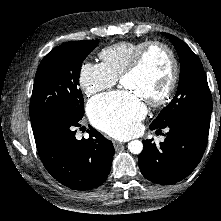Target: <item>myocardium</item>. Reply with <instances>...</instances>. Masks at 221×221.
I'll list each match as a JSON object with an SVG mask.
<instances>
[{
  "instance_id": "obj_1",
  "label": "myocardium",
  "mask_w": 221,
  "mask_h": 221,
  "mask_svg": "<svg viewBox=\"0 0 221 221\" xmlns=\"http://www.w3.org/2000/svg\"><path fill=\"white\" fill-rule=\"evenodd\" d=\"M153 48H161L162 50H164L170 62V72H169L168 82L166 84L164 91L155 98L146 99V102L150 106H160L165 104L174 93L177 84L178 69H179L176 55L166 43L158 40H152L143 43V45L136 51L131 63L123 72L121 79L123 80L125 77L138 72L145 60L147 53Z\"/></svg>"
}]
</instances>
